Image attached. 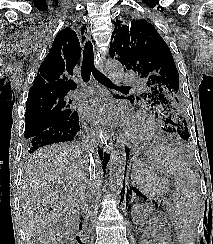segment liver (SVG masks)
I'll use <instances>...</instances> for the list:
<instances>
[{
  "instance_id": "1",
  "label": "liver",
  "mask_w": 213,
  "mask_h": 244,
  "mask_svg": "<svg viewBox=\"0 0 213 244\" xmlns=\"http://www.w3.org/2000/svg\"><path fill=\"white\" fill-rule=\"evenodd\" d=\"M89 164L88 152L69 143L46 146L30 157L21 187L27 244L55 222L76 216L91 188Z\"/></svg>"
}]
</instances>
